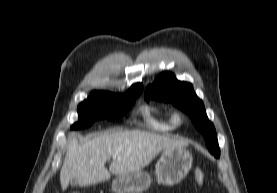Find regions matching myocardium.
I'll return each instance as SVG.
<instances>
[{"instance_id": "myocardium-1", "label": "myocardium", "mask_w": 277, "mask_h": 193, "mask_svg": "<svg viewBox=\"0 0 277 193\" xmlns=\"http://www.w3.org/2000/svg\"><path fill=\"white\" fill-rule=\"evenodd\" d=\"M171 117L176 126H181L186 121V117L181 111L172 112Z\"/></svg>"}]
</instances>
